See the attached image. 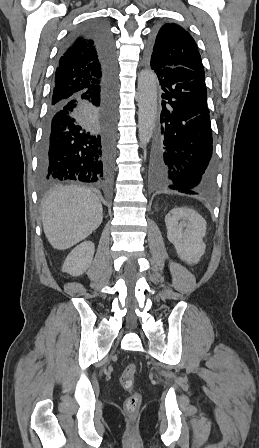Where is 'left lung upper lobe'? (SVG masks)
<instances>
[{"label":"left lung upper lobe","mask_w":259,"mask_h":448,"mask_svg":"<svg viewBox=\"0 0 259 448\" xmlns=\"http://www.w3.org/2000/svg\"><path fill=\"white\" fill-rule=\"evenodd\" d=\"M147 59L154 68L184 67L204 74L195 40L175 23H165L157 29L149 44Z\"/></svg>","instance_id":"left-lung-upper-lobe-1"}]
</instances>
